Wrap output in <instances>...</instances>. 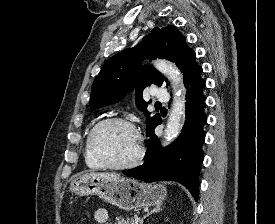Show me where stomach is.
<instances>
[{"label": "stomach", "mask_w": 275, "mask_h": 224, "mask_svg": "<svg viewBox=\"0 0 275 224\" xmlns=\"http://www.w3.org/2000/svg\"><path fill=\"white\" fill-rule=\"evenodd\" d=\"M70 191L79 196L97 195L126 211L159 205L167 195L163 184L147 185L113 173L80 175L71 181Z\"/></svg>", "instance_id": "0dacf381"}]
</instances>
